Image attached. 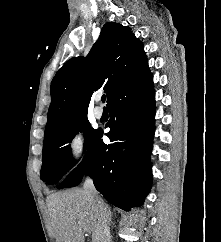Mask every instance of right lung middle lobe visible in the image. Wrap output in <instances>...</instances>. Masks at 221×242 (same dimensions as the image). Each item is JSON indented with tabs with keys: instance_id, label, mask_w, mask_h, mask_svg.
<instances>
[{
	"instance_id": "obj_1",
	"label": "right lung middle lobe",
	"mask_w": 221,
	"mask_h": 242,
	"mask_svg": "<svg viewBox=\"0 0 221 242\" xmlns=\"http://www.w3.org/2000/svg\"><path fill=\"white\" fill-rule=\"evenodd\" d=\"M87 116L72 122L65 129L44 139L41 180L48 183H57L74 165L71 159V145L73 137L79 131H85V146L87 149L96 130L89 128Z\"/></svg>"
}]
</instances>
